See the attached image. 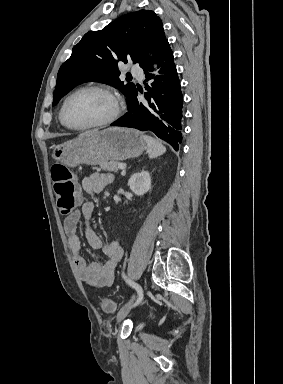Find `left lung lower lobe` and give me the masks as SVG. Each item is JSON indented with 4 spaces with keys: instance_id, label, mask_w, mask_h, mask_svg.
<instances>
[{
    "instance_id": "1",
    "label": "left lung lower lobe",
    "mask_w": 283,
    "mask_h": 384,
    "mask_svg": "<svg viewBox=\"0 0 283 384\" xmlns=\"http://www.w3.org/2000/svg\"><path fill=\"white\" fill-rule=\"evenodd\" d=\"M153 63H158L160 71L155 81L146 86L147 102L137 100V89L128 101V112L112 123V126L130 127L141 131H152L178 150L182 142V107L183 96L174 57L169 43H165ZM146 80L152 78L149 73L152 66L143 68Z\"/></svg>"
}]
</instances>
